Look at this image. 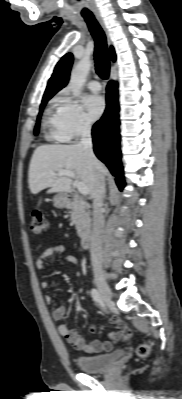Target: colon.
Wrapping results in <instances>:
<instances>
[{
  "label": "colon",
  "mask_w": 182,
  "mask_h": 399,
  "mask_svg": "<svg viewBox=\"0 0 182 399\" xmlns=\"http://www.w3.org/2000/svg\"><path fill=\"white\" fill-rule=\"evenodd\" d=\"M48 223L44 215L41 212H34L31 216L30 230L32 234L40 236L47 230ZM124 338L128 339L131 335V331L128 327L124 326L123 329ZM151 344L149 342H144L138 346L137 354L141 358H145L150 354Z\"/></svg>",
  "instance_id": "obj_1"
}]
</instances>
